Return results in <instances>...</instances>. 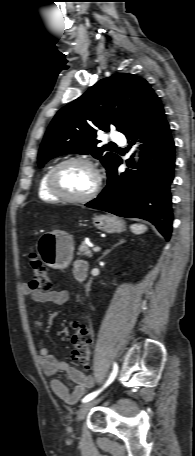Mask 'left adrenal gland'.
I'll return each mask as SVG.
<instances>
[{"instance_id":"left-adrenal-gland-1","label":"left adrenal gland","mask_w":195,"mask_h":456,"mask_svg":"<svg viewBox=\"0 0 195 456\" xmlns=\"http://www.w3.org/2000/svg\"><path fill=\"white\" fill-rule=\"evenodd\" d=\"M126 241L124 239H120L118 243H116L113 247H111V249H108L106 250L103 255L99 258L102 259L103 257H105L108 253H110L115 247H117L118 245H121L122 243H125Z\"/></svg>"}]
</instances>
